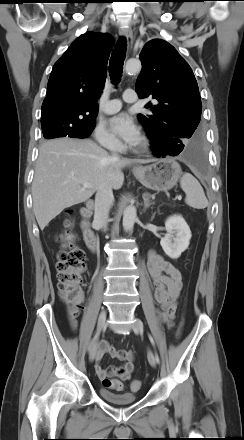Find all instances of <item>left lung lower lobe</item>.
I'll return each instance as SVG.
<instances>
[{
	"label": "left lung lower lobe",
	"mask_w": 244,
	"mask_h": 440,
	"mask_svg": "<svg viewBox=\"0 0 244 440\" xmlns=\"http://www.w3.org/2000/svg\"><path fill=\"white\" fill-rule=\"evenodd\" d=\"M150 144L152 151L158 157L177 156L182 152L185 159L189 161L197 170L201 172L205 171V160L202 151L200 149V143L198 141L190 145H184L182 147H176V148L172 147L169 149H165L161 147L158 143H156L153 140H151Z\"/></svg>",
	"instance_id": "left-lung-lower-lobe-1"
}]
</instances>
